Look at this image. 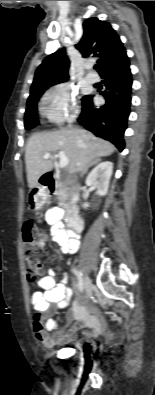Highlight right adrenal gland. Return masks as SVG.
<instances>
[{
	"instance_id": "right-adrenal-gland-1",
	"label": "right adrenal gland",
	"mask_w": 155,
	"mask_h": 395,
	"mask_svg": "<svg viewBox=\"0 0 155 395\" xmlns=\"http://www.w3.org/2000/svg\"><path fill=\"white\" fill-rule=\"evenodd\" d=\"M99 161H100V159L95 160L94 162H92V163L82 172L81 176H83V175L87 172V170H88V168H89L90 166L96 164V163L99 162Z\"/></svg>"
}]
</instances>
